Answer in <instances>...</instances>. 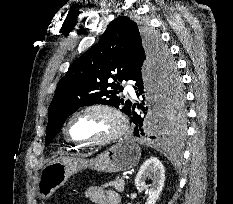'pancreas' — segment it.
<instances>
[{
    "label": "pancreas",
    "instance_id": "obj_1",
    "mask_svg": "<svg viewBox=\"0 0 233 204\" xmlns=\"http://www.w3.org/2000/svg\"><path fill=\"white\" fill-rule=\"evenodd\" d=\"M124 185H125L124 180H121V179L117 178L115 181L105 183L102 186L105 187V188L114 187L116 191L123 192L124 191Z\"/></svg>",
    "mask_w": 233,
    "mask_h": 204
}]
</instances>
